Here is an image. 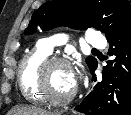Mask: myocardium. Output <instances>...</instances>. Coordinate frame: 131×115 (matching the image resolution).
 Segmentation results:
<instances>
[{
    "instance_id": "1",
    "label": "myocardium",
    "mask_w": 131,
    "mask_h": 115,
    "mask_svg": "<svg viewBox=\"0 0 131 115\" xmlns=\"http://www.w3.org/2000/svg\"><path fill=\"white\" fill-rule=\"evenodd\" d=\"M54 65H64L69 69H72L71 63L64 57L51 56L46 58L40 64L37 70L36 89L45 102L53 106H63L70 103L74 99L76 95V88H74L69 95L63 98H56L49 93L47 87V73L49 69Z\"/></svg>"
}]
</instances>
